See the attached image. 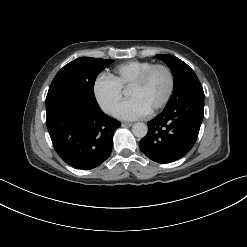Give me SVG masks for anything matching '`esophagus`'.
<instances>
[{"instance_id": "1", "label": "esophagus", "mask_w": 247, "mask_h": 247, "mask_svg": "<svg viewBox=\"0 0 247 247\" xmlns=\"http://www.w3.org/2000/svg\"><path fill=\"white\" fill-rule=\"evenodd\" d=\"M122 125L127 126V127H131V126H133V123L123 122Z\"/></svg>"}]
</instances>
